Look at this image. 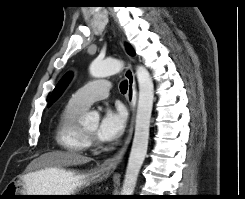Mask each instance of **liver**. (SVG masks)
<instances>
[{
	"mask_svg": "<svg viewBox=\"0 0 245 199\" xmlns=\"http://www.w3.org/2000/svg\"><path fill=\"white\" fill-rule=\"evenodd\" d=\"M91 161V158L75 152L54 151L41 155L36 162L35 172L46 168H63L85 164ZM34 172L25 176L32 175Z\"/></svg>",
	"mask_w": 245,
	"mask_h": 199,
	"instance_id": "obj_1",
	"label": "liver"
}]
</instances>
